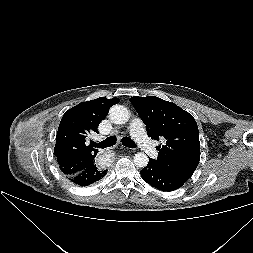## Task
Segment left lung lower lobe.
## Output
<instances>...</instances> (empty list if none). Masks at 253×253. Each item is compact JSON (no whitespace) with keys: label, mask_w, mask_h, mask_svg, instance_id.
Instances as JSON below:
<instances>
[{"label":"left lung lower lobe","mask_w":253,"mask_h":253,"mask_svg":"<svg viewBox=\"0 0 253 253\" xmlns=\"http://www.w3.org/2000/svg\"><path fill=\"white\" fill-rule=\"evenodd\" d=\"M140 174L143 180L149 185L162 191H174L185 183L181 179L166 172L152 159H149L148 165L141 170Z\"/></svg>","instance_id":"left-lung-lower-lobe-1"}]
</instances>
